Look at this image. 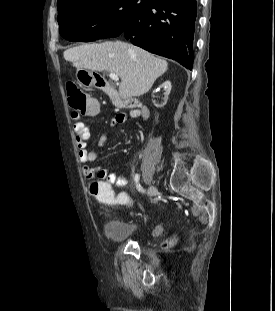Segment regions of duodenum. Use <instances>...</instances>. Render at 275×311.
<instances>
[{"mask_svg":"<svg viewBox=\"0 0 275 311\" xmlns=\"http://www.w3.org/2000/svg\"><path fill=\"white\" fill-rule=\"evenodd\" d=\"M97 73H98L97 70L95 69L91 70L92 80L94 84H96V87L100 91L108 95L115 104L119 106L130 107V108L137 105L136 101L134 100H128V101L123 100L119 96L117 90L113 87V85L109 81H107L105 77H99ZM142 115L144 117L148 116V111L144 107H142Z\"/></svg>","mask_w":275,"mask_h":311,"instance_id":"410a0bca","label":"duodenum"}]
</instances>
